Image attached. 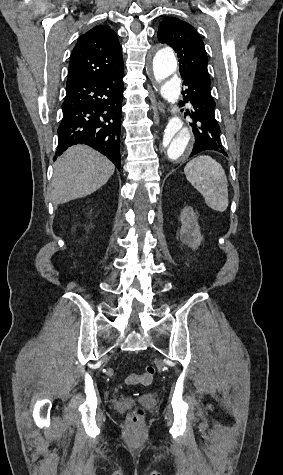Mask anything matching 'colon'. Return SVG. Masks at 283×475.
<instances>
[{"instance_id": "1", "label": "colon", "mask_w": 283, "mask_h": 475, "mask_svg": "<svg viewBox=\"0 0 283 475\" xmlns=\"http://www.w3.org/2000/svg\"><path fill=\"white\" fill-rule=\"evenodd\" d=\"M156 373V368L153 365H147L145 367L144 376L148 379H151ZM144 417V410L138 406L135 411L130 415L129 419L133 423H137Z\"/></svg>"}]
</instances>
